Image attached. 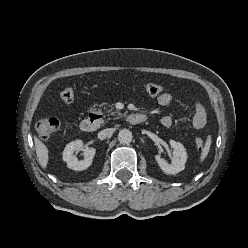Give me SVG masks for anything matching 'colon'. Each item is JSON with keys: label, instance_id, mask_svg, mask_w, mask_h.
Instances as JSON below:
<instances>
[{"label": "colon", "instance_id": "1", "mask_svg": "<svg viewBox=\"0 0 248 248\" xmlns=\"http://www.w3.org/2000/svg\"><path fill=\"white\" fill-rule=\"evenodd\" d=\"M144 90L151 96H157L163 92V87L156 83H147L144 85ZM60 96L64 102L70 103L74 101L76 95L72 88H66L61 92ZM59 127V120L53 117L41 119L36 126L40 137L45 140L52 138L58 132ZM195 145L198 150H202L205 146L202 138H197Z\"/></svg>", "mask_w": 248, "mask_h": 248}]
</instances>
